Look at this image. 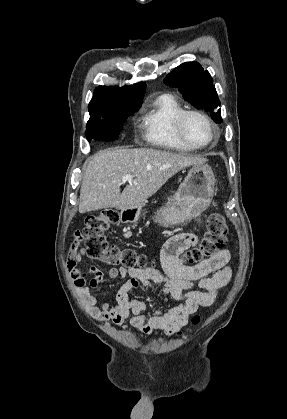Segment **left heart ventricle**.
Returning <instances> with one entry per match:
<instances>
[{
	"label": "left heart ventricle",
	"mask_w": 287,
	"mask_h": 419,
	"mask_svg": "<svg viewBox=\"0 0 287 419\" xmlns=\"http://www.w3.org/2000/svg\"><path fill=\"white\" fill-rule=\"evenodd\" d=\"M187 138L195 144H204L211 138V132L207 124L196 116H190L184 126Z\"/></svg>",
	"instance_id": "b2bd125f"
}]
</instances>
